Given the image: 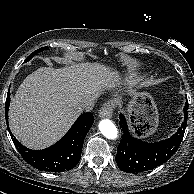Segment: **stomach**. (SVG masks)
I'll return each mask as SVG.
<instances>
[{"instance_id":"1","label":"stomach","mask_w":194,"mask_h":194,"mask_svg":"<svg viewBox=\"0 0 194 194\" xmlns=\"http://www.w3.org/2000/svg\"><path fill=\"white\" fill-rule=\"evenodd\" d=\"M128 122L142 137L155 133L159 125V113L152 96L147 92H137L128 105Z\"/></svg>"}]
</instances>
